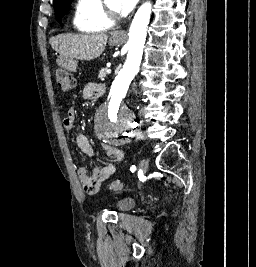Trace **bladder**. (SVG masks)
I'll use <instances>...</instances> for the list:
<instances>
[{"mask_svg":"<svg viewBox=\"0 0 256 267\" xmlns=\"http://www.w3.org/2000/svg\"><path fill=\"white\" fill-rule=\"evenodd\" d=\"M135 206V202L130 198H123L117 208L119 212H125L129 210L131 207Z\"/></svg>","mask_w":256,"mask_h":267,"instance_id":"bladder-1","label":"bladder"}]
</instances>
